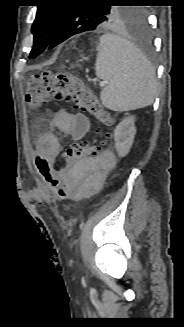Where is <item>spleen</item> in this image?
I'll return each mask as SVG.
<instances>
[{
  "instance_id": "spleen-1",
  "label": "spleen",
  "mask_w": 184,
  "mask_h": 327,
  "mask_svg": "<svg viewBox=\"0 0 184 327\" xmlns=\"http://www.w3.org/2000/svg\"><path fill=\"white\" fill-rule=\"evenodd\" d=\"M95 71L97 77L108 81L101 91L106 108L129 111L153 103L157 91L155 70L129 41L108 33L102 35Z\"/></svg>"
}]
</instances>
